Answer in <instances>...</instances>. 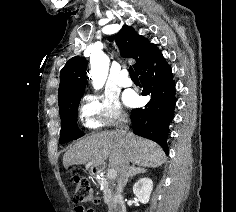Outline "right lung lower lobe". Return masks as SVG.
I'll return each instance as SVG.
<instances>
[{
  "label": "right lung lower lobe",
  "mask_w": 236,
  "mask_h": 212,
  "mask_svg": "<svg viewBox=\"0 0 236 212\" xmlns=\"http://www.w3.org/2000/svg\"><path fill=\"white\" fill-rule=\"evenodd\" d=\"M137 74L143 86L142 95H150L151 99L144 107L131 111L133 132L157 142L168 153L166 140L176 103L171 68L154 47Z\"/></svg>",
  "instance_id": "98d812e1"
}]
</instances>
